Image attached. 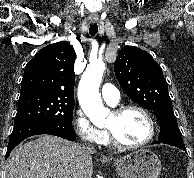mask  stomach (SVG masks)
<instances>
[{
	"instance_id": "obj_1",
	"label": "stomach",
	"mask_w": 194,
	"mask_h": 178,
	"mask_svg": "<svg viewBox=\"0 0 194 178\" xmlns=\"http://www.w3.org/2000/svg\"><path fill=\"white\" fill-rule=\"evenodd\" d=\"M121 178H158L162 166L152 151L141 149L115 161Z\"/></svg>"
}]
</instances>
